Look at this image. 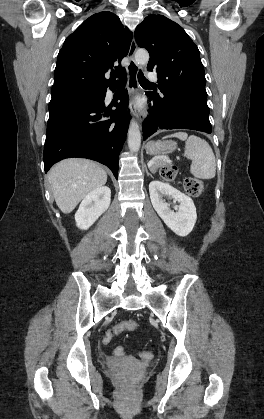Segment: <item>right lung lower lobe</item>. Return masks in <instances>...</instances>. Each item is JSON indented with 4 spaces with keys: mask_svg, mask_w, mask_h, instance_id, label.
<instances>
[{
    "mask_svg": "<svg viewBox=\"0 0 264 419\" xmlns=\"http://www.w3.org/2000/svg\"><path fill=\"white\" fill-rule=\"evenodd\" d=\"M115 90L116 85L109 87ZM106 89L95 94L52 98L44 146V170L65 158L82 157L108 166L118 177V159L125 142L130 115L127 91L120 102L105 107Z\"/></svg>",
    "mask_w": 264,
    "mask_h": 419,
    "instance_id": "1",
    "label": "right lung lower lobe"
}]
</instances>
